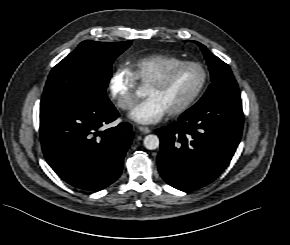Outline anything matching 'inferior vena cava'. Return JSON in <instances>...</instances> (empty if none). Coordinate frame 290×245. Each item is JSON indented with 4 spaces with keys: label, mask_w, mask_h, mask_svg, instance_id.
<instances>
[{
    "label": "inferior vena cava",
    "mask_w": 290,
    "mask_h": 245,
    "mask_svg": "<svg viewBox=\"0 0 290 245\" xmlns=\"http://www.w3.org/2000/svg\"><path fill=\"white\" fill-rule=\"evenodd\" d=\"M124 106L126 108H132L133 107V105L131 103L127 102V101H125Z\"/></svg>",
    "instance_id": "1"
}]
</instances>
